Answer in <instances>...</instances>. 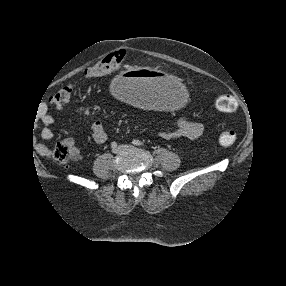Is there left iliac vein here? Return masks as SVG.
<instances>
[{
    "mask_svg": "<svg viewBox=\"0 0 286 286\" xmlns=\"http://www.w3.org/2000/svg\"><path fill=\"white\" fill-rule=\"evenodd\" d=\"M130 147H132L131 145H128V144H123V145H120L119 146V149L120 150H125V149H128V148H130Z\"/></svg>",
    "mask_w": 286,
    "mask_h": 286,
    "instance_id": "1",
    "label": "left iliac vein"
}]
</instances>
